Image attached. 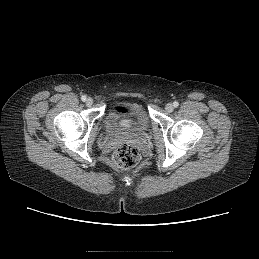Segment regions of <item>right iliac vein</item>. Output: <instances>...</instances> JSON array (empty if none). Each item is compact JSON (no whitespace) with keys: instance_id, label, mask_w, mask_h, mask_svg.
<instances>
[{"instance_id":"1","label":"right iliac vein","mask_w":259,"mask_h":259,"mask_svg":"<svg viewBox=\"0 0 259 259\" xmlns=\"http://www.w3.org/2000/svg\"><path fill=\"white\" fill-rule=\"evenodd\" d=\"M92 104H93V99L90 98V97L87 98V99H86V105H87V106H91Z\"/></svg>"}]
</instances>
